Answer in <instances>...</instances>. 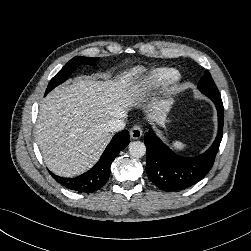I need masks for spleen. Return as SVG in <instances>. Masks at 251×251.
<instances>
[{"mask_svg": "<svg viewBox=\"0 0 251 251\" xmlns=\"http://www.w3.org/2000/svg\"><path fill=\"white\" fill-rule=\"evenodd\" d=\"M171 147L176 150V151H182L186 148V144L180 142V141H175L171 144Z\"/></svg>", "mask_w": 251, "mask_h": 251, "instance_id": "obj_1", "label": "spleen"}]
</instances>
